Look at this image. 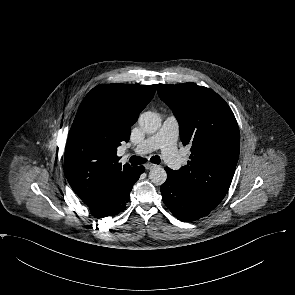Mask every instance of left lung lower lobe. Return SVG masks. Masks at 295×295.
I'll use <instances>...</instances> for the list:
<instances>
[{"instance_id": "obj_1", "label": "left lung lower lobe", "mask_w": 295, "mask_h": 295, "mask_svg": "<svg viewBox=\"0 0 295 295\" xmlns=\"http://www.w3.org/2000/svg\"><path fill=\"white\" fill-rule=\"evenodd\" d=\"M167 180L161 185L162 199L173 215L181 221L191 222L208 215L212 209L200 204L176 178L174 171L165 168Z\"/></svg>"}]
</instances>
